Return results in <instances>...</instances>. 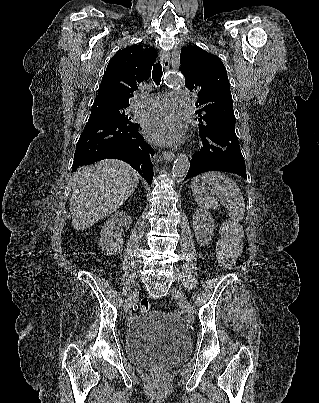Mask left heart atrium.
<instances>
[{"label": "left heart atrium", "instance_id": "39dd6f15", "mask_svg": "<svg viewBox=\"0 0 319 403\" xmlns=\"http://www.w3.org/2000/svg\"><path fill=\"white\" fill-rule=\"evenodd\" d=\"M146 138L162 145H176L182 141L183 125L181 120L169 112L148 116L143 123Z\"/></svg>", "mask_w": 319, "mask_h": 403}]
</instances>
